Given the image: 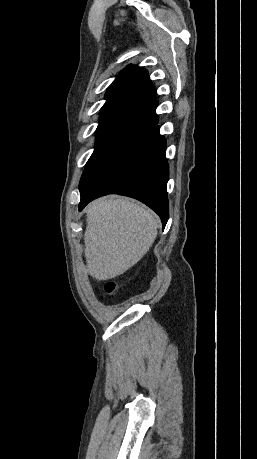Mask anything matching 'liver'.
I'll list each match as a JSON object with an SVG mask.
<instances>
[{
	"label": "liver",
	"mask_w": 257,
	"mask_h": 459,
	"mask_svg": "<svg viewBox=\"0 0 257 459\" xmlns=\"http://www.w3.org/2000/svg\"><path fill=\"white\" fill-rule=\"evenodd\" d=\"M87 271L97 280L115 278L148 252L160 221L148 209L126 198H100L85 209Z\"/></svg>",
	"instance_id": "obj_1"
}]
</instances>
